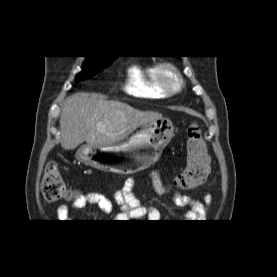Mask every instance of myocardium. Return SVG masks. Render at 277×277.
<instances>
[{
	"label": "myocardium",
	"mask_w": 277,
	"mask_h": 277,
	"mask_svg": "<svg viewBox=\"0 0 277 277\" xmlns=\"http://www.w3.org/2000/svg\"><path fill=\"white\" fill-rule=\"evenodd\" d=\"M167 73H171L175 80L176 85L171 86ZM155 74L160 89L168 96L178 94L184 87V79L181 75L179 68L171 62H161L155 66Z\"/></svg>",
	"instance_id": "1"
}]
</instances>
